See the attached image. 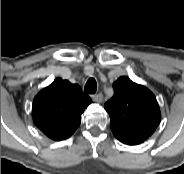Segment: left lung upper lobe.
<instances>
[{"mask_svg": "<svg viewBox=\"0 0 184 174\" xmlns=\"http://www.w3.org/2000/svg\"><path fill=\"white\" fill-rule=\"evenodd\" d=\"M113 89L114 96L104 105L113 134L143 142L153 134L161 120L156 97L146 87L125 76L114 82Z\"/></svg>", "mask_w": 184, "mask_h": 174, "instance_id": "obj_1", "label": "left lung upper lobe"}]
</instances>
